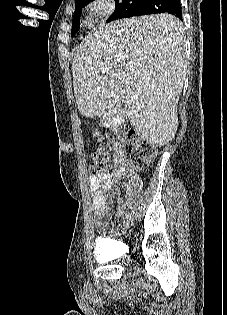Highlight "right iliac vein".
Segmentation results:
<instances>
[{"instance_id":"obj_1","label":"right iliac vein","mask_w":227,"mask_h":315,"mask_svg":"<svg viewBox=\"0 0 227 315\" xmlns=\"http://www.w3.org/2000/svg\"><path fill=\"white\" fill-rule=\"evenodd\" d=\"M133 224V219L132 218H128L127 220H125L123 222V229H127L129 228L131 225Z\"/></svg>"}]
</instances>
